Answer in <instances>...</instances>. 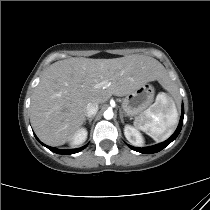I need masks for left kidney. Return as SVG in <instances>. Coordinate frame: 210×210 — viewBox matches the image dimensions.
Listing matches in <instances>:
<instances>
[{"instance_id":"5707ae66","label":"left kidney","mask_w":210,"mask_h":210,"mask_svg":"<svg viewBox=\"0 0 210 210\" xmlns=\"http://www.w3.org/2000/svg\"><path fill=\"white\" fill-rule=\"evenodd\" d=\"M124 135L126 139L133 145L141 146L144 143L142 135L133 126L126 125L124 127Z\"/></svg>"}]
</instances>
